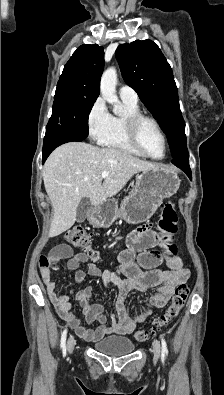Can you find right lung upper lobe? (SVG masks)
Returning <instances> with one entry per match:
<instances>
[{
  "label": "right lung upper lobe",
  "mask_w": 224,
  "mask_h": 395,
  "mask_svg": "<svg viewBox=\"0 0 224 395\" xmlns=\"http://www.w3.org/2000/svg\"><path fill=\"white\" fill-rule=\"evenodd\" d=\"M103 69L104 48L97 44H84L65 65L58 84L99 94Z\"/></svg>",
  "instance_id": "right-lung-upper-lobe-1"
}]
</instances>
